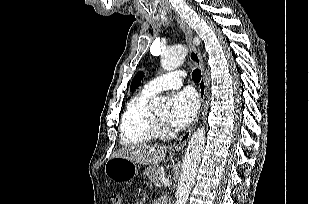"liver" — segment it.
<instances>
[{
    "label": "liver",
    "mask_w": 309,
    "mask_h": 204,
    "mask_svg": "<svg viewBox=\"0 0 309 204\" xmlns=\"http://www.w3.org/2000/svg\"><path fill=\"white\" fill-rule=\"evenodd\" d=\"M167 153L165 145L135 144L124 146L117 150L112 157L126 158L142 165H154L162 162Z\"/></svg>",
    "instance_id": "obj_1"
}]
</instances>
